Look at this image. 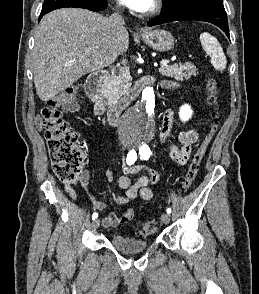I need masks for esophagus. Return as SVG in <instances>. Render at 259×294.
<instances>
[{"mask_svg":"<svg viewBox=\"0 0 259 294\" xmlns=\"http://www.w3.org/2000/svg\"><path fill=\"white\" fill-rule=\"evenodd\" d=\"M137 31L140 32V33H143L144 29L142 27H139V28H137Z\"/></svg>","mask_w":259,"mask_h":294,"instance_id":"1","label":"esophagus"}]
</instances>
